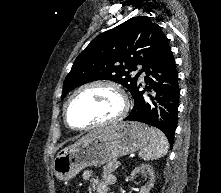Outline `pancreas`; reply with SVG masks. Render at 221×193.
Returning a JSON list of instances; mask_svg holds the SVG:
<instances>
[{
	"instance_id": "pancreas-1",
	"label": "pancreas",
	"mask_w": 221,
	"mask_h": 193,
	"mask_svg": "<svg viewBox=\"0 0 221 193\" xmlns=\"http://www.w3.org/2000/svg\"><path fill=\"white\" fill-rule=\"evenodd\" d=\"M117 163L118 161L114 159V160L109 161L106 165H104L103 171H102L103 175L107 176L113 173L118 168Z\"/></svg>"
}]
</instances>
